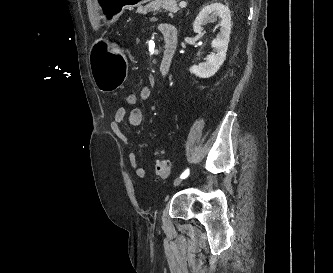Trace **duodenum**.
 <instances>
[{
	"mask_svg": "<svg viewBox=\"0 0 333 273\" xmlns=\"http://www.w3.org/2000/svg\"><path fill=\"white\" fill-rule=\"evenodd\" d=\"M164 41L163 59L160 64V73L166 77L169 75L174 54L178 44V33L174 26L166 24L162 31Z\"/></svg>",
	"mask_w": 333,
	"mask_h": 273,
	"instance_id": "410a0bca",
	"label": "duodenum"
}]
</instances>
